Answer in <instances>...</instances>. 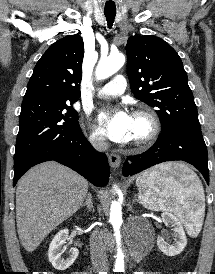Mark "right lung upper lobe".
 Masks as SVG:
<instances>
[{
	"label": "right lung upper lobe",
	"mask_w": 215,
	"mask_h": 274,
	"mask_svg": "<svg viewBox=\"0 0 215 274\" xmlns=\"http://www.w3.org/2000/svg\"><path fill=\"white\" fill-rule=\"evenodd\" d=\"M83 56L84 43L78 34L53 43L37 62L22 104L37 100L77 101Z\"/></svg>",
	"instance_id": "right-lung-upper-lobe-1"
}]
</instances>
